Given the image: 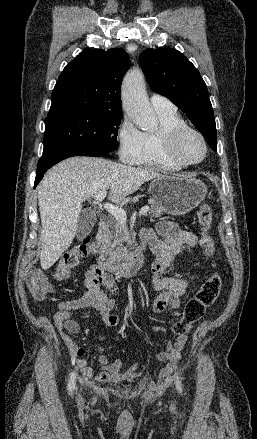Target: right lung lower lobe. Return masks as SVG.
Masks as SVG:
<instances>
[{"mask_svg": "<svg viewBox=\"0 0 257 439\" xmlns=\"http://www.w3.org/2000/svg\"><path fill=\"white\" fill-rule=\"evenodd\" d=\"M109 152L97 150V149H65L60 150L54 153L43 155L37 165V175L35 178L34 188L41 181L44 176V173L53 165L60 162L63 159L72 156H94V157H103L106 156Z\"/></svg>", "mask_w": 257, "mask_h": 439, "instance_id": "obj_1", "label": "right lung lower lobe"}]
</instances>
